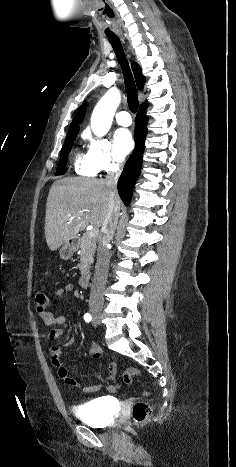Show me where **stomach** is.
Here are the masks:
<instances>
[{"instance_id":"obj_1","label":"stomach","mask_w":236,"mask_h":467,"mask_svg":"<svg viewBox=\"0 0 236 467\" xmlns=\"http://www.w3.org/2000/svg\"><path fill=\"white\" fill-rule=\"evenodd\" d=\"M75 250H76V248H75L74 244H72L70 242H67L61 247V249L59 251L60 257L63 260H68V259H70L72 257Z\"/></svg>"}]
</instances>
